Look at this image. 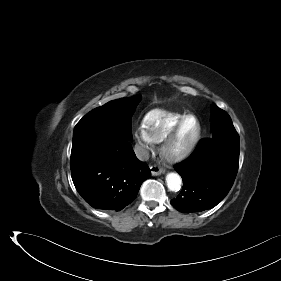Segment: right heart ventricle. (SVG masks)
<instances>
[{
  "instance_id": "1",
  "label": "right heart ventricle",
  "mask_w": 281,
  "mask_h": 281,
  "mask_svg": "<svg viewBox=\"0 0 281 281\" xmlns=\"http://www.w3.org/2000/svg\"><path fill=\"white\" fill-rule=\"evenodd\" d=\"M186 114L166 109H153L144 116L143 128L153 143H159Z\"/></svg>"
}]
</instances>
